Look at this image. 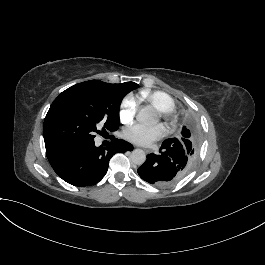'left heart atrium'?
I'll list each match as a JSON object with an SVG mask.
<instances>
[{"mask_svg": "<svg viewBox=\"0 0 265 265\" xmlns=\"http://www.w3.org/2000/svg\"><path fill=\"white\" fill-rule=\"evenodd\" d=\"M124 137L139 145H148L165 135V129L162 125L149 126L146 124L135 123L128 127L124 133Z\"/></svg>", "mask_w": 265, "mask_h": 265, "instance_id": "39dd6f15", "label": "left heart atrium"}]
</instances>
